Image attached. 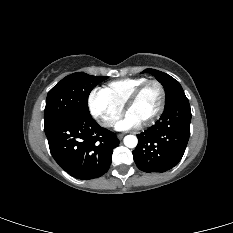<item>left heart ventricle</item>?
Listing matches in <instances>:
<instances>
[{
    "instance_id": "obj_1",
    "label": "left heart ventricle",
    "mask_w": 233,
    "mask_h": 233,
    "mask_svg": "<svg viewBox=\"0 0 233 233\" xmlns=\"http://www.w3.org/2000/svg\"><path fill=\"white\" fill-rule=\"evenodd\" d=\"M160 104V90L158 86L151 84L140 94L136 102L128 110L139 124L148 120L158 109Z\"/></svg>"
}]
</instances>
